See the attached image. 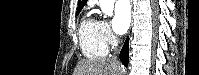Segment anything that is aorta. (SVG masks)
Masks as SVG:
<instances>
[{
  "instance_id": "obj_1",
  "label": "aorta",
  "mask_w": 199,
  "mask_h": 75,
  "mask_svg": "<svg viewBox=\"0 0 199 75\" xmlns=\"http://www.w3.org/2000/svg\"><path fill=\"white\" fill-rule=\"evenodd\" d=\"M115 0H99L100 8L105 16H112Z\"/></svg>"
}]
</instances>
